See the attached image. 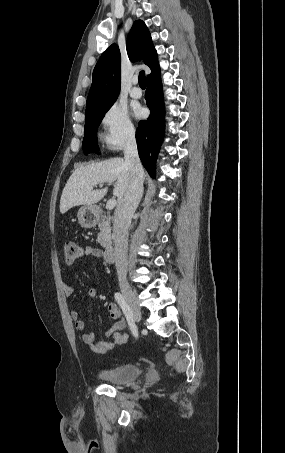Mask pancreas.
<instances>
[{"label":"pancreas","instance_id":"obj_1","mask_svg":"<svg viewBox=\"0 0 285 453\" xmlns=\"http://www.w3.org/2000/svg\"><path fill=\"white\" fill-rule=\"evenodd\" d=\"M110 220V217L104 215L99 223L100 233L98 234V242L103 247H106L111 241Z\"/></svg>","mask_w":285,"mask_h":453}]
</instances>
